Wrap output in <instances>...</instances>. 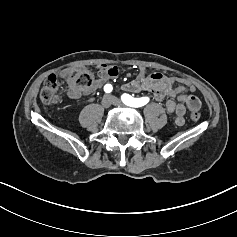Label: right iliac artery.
I'll return each instance as SVG.
<instances>
[{"instance_id":"82829eb1","label":"right iliac artery","mask_w":237,"mask_h":237,"mask_svg":"<svg viewBox=\"0 0 237 237\" xmlns=\"http://www.w3.org/2000/svg\"><path fill=\"white\" fill-rule=\"evenodd\" d=\"M112 90H113V87H112L111 84H106V85L104 86V91H105L106 93H110Z\"/></svg>"}]
</instances>
